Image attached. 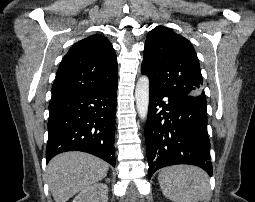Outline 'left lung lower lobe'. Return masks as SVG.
<instances>
[{
  "mask_svg": "<svg viewBox=\"0 0 255 202\" xmlns=\"http://www.w3.org/2000/svg\"><path fill=\"white\" fill-rule=\"evenodd\" d=\"M145 140L149 178L175 164L199 166L212 175L206 103L150 87Z\"/></svg>",
  "mask_w": 255,
  "mask_h": 202,
  "instance_id": "0a47b994",
  "label": "left lung lower lobe"
}]
</instances>
